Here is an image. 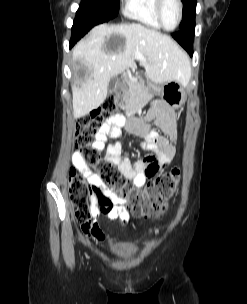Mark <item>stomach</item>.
<instances>
[{"label":"stomach","instance_id":"obj_1","mask_svg":"<svg viewBox=\"0 0 247 304\" xmlns=\"http://www.w3.org/2000/svg\"><path fill=\"white\" fill-rule=\"evenodd\" d=\"M156 93L165 101L172 109L181 108L186 101V93L178 82H167L163 86L157 88Z\"/></svg>","mask_w":247,"mask_h":304}]
</instances>
